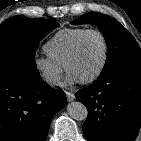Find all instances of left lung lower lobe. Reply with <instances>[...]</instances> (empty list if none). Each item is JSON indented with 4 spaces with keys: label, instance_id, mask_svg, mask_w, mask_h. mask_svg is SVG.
<instances>
[{
    "label": "left lung lower lobe",
    "instance_id": "0a47b994",
    "mask_svg": "<svg viewBox=\"0 0 141 141\" xmlns=\"http://www.w3.org/2000/svg\"><path fill=\"white\" fill-rule=\"evenodd\" d=\"M88 141H134L141 123V68H123L79 90Z\"/></svg>",
    "mask_w": 141,
    "mask_h": 141
}]
</instances>
